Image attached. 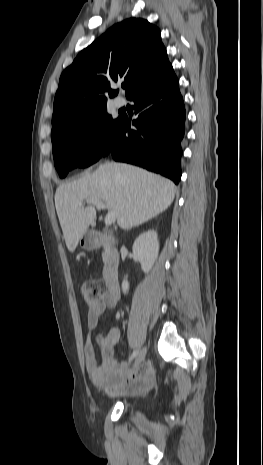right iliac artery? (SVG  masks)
<instances>
[{
	"mask_svg": "<svg viewBox=\"0 0 263 465\" xmlns=\"http://www.w3.org/2000/svg\"><path fill=\"white\" fill-rule=\"evenodd\" d=\"M137 354H138V350H135V351L131 354V356H130V358H129V362L132 361V360L137 356Z\"/></svg>",
	"mask_w": 263,
	"mask_h": 465,
	"instance_id": "82829eb1",
	"label": "right iliac artery"
}]
</instances>
